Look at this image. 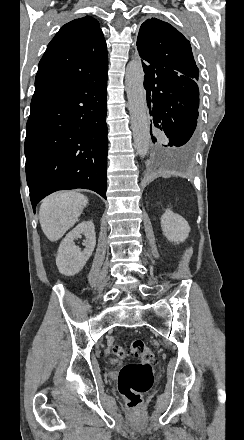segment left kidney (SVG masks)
Segmentation results:
<instances>
[{
	"label": "left kidney",
	"instance_id": "5707ae66",
	"mask_svg": "<svg viewBox=\"0 0 244 440\" xmlns=\"http://www.w3.org/2000/svg\"><path fill=\"white\" fill-rule=\"evenodd\" d=\"M161 228L169 242H184L189 236L190 226L182 216L174 214L171 210H165L161 218Z\"/></svg>",
	"mask_w": 244,
	"mask_h": 440
}]
</instances>
